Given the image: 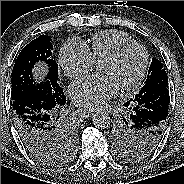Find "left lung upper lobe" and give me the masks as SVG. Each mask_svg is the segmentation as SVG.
Listing matches in <instances>:
<instances>
[{"mask_svg": "<svg viewBox=\"0 0 184 184\" xmlns=\"http://www.w3.org/2000/svg\"><path fill=\"white\" fill-rule=\"evenodd\" d=\"M158 88H168V76L162 63L158 59L152 58L145 85L140 89L138 94ZM159 94L160 92L157 95L161 97ZM131 113L132 109H130V112L125 117L116 120L111 129V137L116 145L117 154L121 158L127 161H136L151 154L159 142L152 132L148 129L140 128L134 123ZM141 146L149 147V150L139 152L138 149Z\"/></svg>", "mask_w": 184, "mask_h": 184, "instance_id": "left-lung-upper-lobe-1", "label": "left lung upper lobe"}]
</instances>
